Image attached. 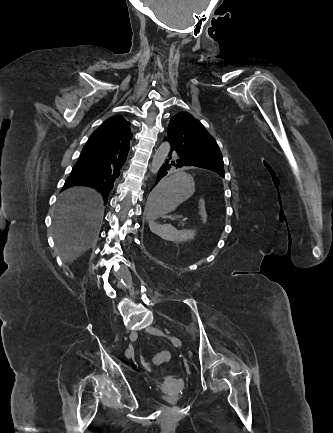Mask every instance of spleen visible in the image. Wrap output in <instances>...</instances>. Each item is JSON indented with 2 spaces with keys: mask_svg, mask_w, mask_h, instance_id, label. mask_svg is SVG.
Returning <instances> with one entry per match:
<instances>
[{
  "mask_svg": "<svg viewBox=\"0 0 333 433\" xmlns=\"http://www.w3.org/2000/svg\"><path fill=\"white\" fill-rule=\"evenodd\" d=\"M149 227L154 234L167 241L185 242L195 236L194 230H177L171 224H160L156 220H149Z\"/></svg>",
  "mask_w": 333,
  "mask_h": 433,
  "instance_id": "3e777b00",
  "label": "spleen"
}]
</instances>
